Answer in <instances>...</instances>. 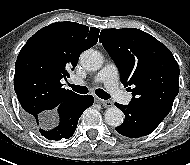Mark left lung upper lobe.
I'll return each instance as SVG.
<instances>
[{"label": "left lung upper lobe", "mask_w": 190, "mask_h": 165, "mask_svg": "<svg viewBox=\"0 0 190 165\" xmlns=\"http://www.w3.org/2000/svg\"><path fill=\"white\" fill-rule=\"evenodd\" d=\"M99 41L132 92L131 103L171 111L179 91V66L171 51L135 28L103 29Z\"/></svg>", "instance_id": "obj_1"}]
</instances>
